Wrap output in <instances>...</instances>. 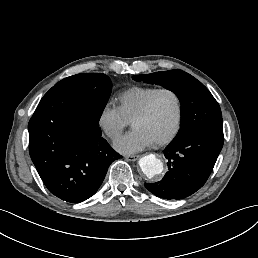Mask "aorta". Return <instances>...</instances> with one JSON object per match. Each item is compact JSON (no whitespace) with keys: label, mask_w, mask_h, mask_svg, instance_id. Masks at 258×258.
Segmentation results:
<instances>
[{"label":"aorta","mask_w":258,"mask_h":258,"mask_svg":"<svg viewBox=\"0 0 258 258\" xmlns=\"http://www.w3.org/2000/svg\"><path fill=\"white\" fill-rule=\"evenodd\" d=\"M139 166L142 172L149 179L154 176L161 174L163 171V163L160 159H158L154 154H149L142 157L139 160Z\"/></svg>","instance_id":"762f6f07"}]
</instances>
